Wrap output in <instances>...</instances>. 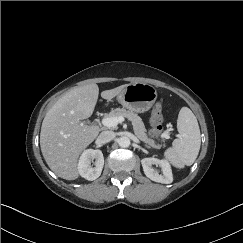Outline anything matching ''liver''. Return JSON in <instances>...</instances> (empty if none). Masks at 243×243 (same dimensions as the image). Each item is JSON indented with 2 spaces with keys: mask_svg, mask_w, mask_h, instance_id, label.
<instances>
[{
  "mask_svg": "<svg viewBox=\"0 0 243 243\" xmlns=\"http://www.w3.org/2000/svg\"><path fill=\"white\" fill-rule=\"evenodd\" d=\"M126 86L102 91L101 97L111 100ZM98 95L95 83L74 87L62 95L44 117L40 132L41 152L49 168L63 179L79 177V156L100 132L99 126L81 122L93 114Z\"/></svg>",
  "mask_w": 243,
  "mask_h": 243,
  "instance_id": "1",
  "label": "liver"
}]
</instances>
